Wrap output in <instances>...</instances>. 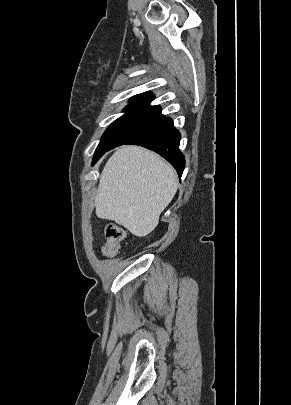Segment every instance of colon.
<instances>
[{
	"mask_svg": "<svg viewBox=\"0 0 291 405\" xmlns=\"http://www.w3.org/2000/svg\"><path fill=\"white\" fill-rule=\"evenodd\" d=\"M106 241L102 252L106 257H115L124 241V230L115 224H109L105 228Z\"/></svg>",
	"mask_w": 291,
	"mask_h": 405,
	"instance_id": "1",
	"label": "colon"
}]
</instances>
